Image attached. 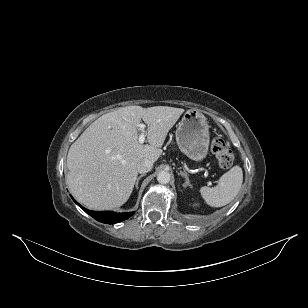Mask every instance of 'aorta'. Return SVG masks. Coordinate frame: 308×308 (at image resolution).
<instances>
[{"instance_id": "aorta-1", "label": "aorta", "mask_w": 308, "mask_h": 308, "mask_svg": "<svg viewBox=\"0 0 308 308\" xmlns=\"http://www.w3.org/2000/svg\"><path fill=\"white\" fill-rule=\"evenodd\" d=\"M171 175L168 171H161L157 175V181L161 184L169 183Z\"/></svg>"}]
</instances>
